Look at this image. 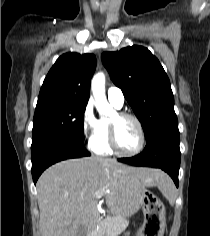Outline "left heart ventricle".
I'll return each instance as SVG.
<instances>
[{
	"instance_id": "b2bd125f",
	"label": "left heart ventricle",
	"mask_w": 210,
	"mask_h": 236,
	"mask_svg": "<svg viewBox=\"0 0 210 236\" xmlns=\"http://www.w3.org/2000/svg\"><path fill=\"white\" fill-rule=\"evenodd\" d=\"M116 130L118 145L123 151L131 152L138 147L140 134L135 121L129 118L119 119L116 121Z\"/></svg>"
}]
</instances>
